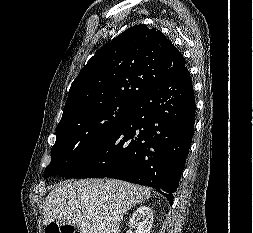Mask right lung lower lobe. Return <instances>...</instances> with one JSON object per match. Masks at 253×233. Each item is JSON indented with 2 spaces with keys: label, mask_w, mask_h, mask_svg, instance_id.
Returning a JSON list of instances; mask_svg holds the SVG:
<instances>
[{
  "label": "right lung lower lobe",
  "mask_w": 253,
  "mask_h": 233,
  "mask_svg": "<svg viewBox=\"0 0 253 233\" xmlns=\"http://www.w3.org/2000/svg\"><path fill=\"white\" fill-rule=\"evenodd\" d=\"M194 123V91L184 66L149 87L103 144L58 175L107 177L151 186L172 204Z\"/></svg>",
  "instance_id": "right-lung-lower-lobe-1"
}]
</instances>
